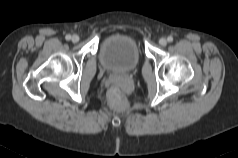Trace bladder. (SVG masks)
<instances>
[{"instance_id": "31cf9c89", "label": "bladder", "mask_w": 238, "mask_h": 158, "mask_svg": "<svg viewBox=\"0 0 238 158\" xmlns=\"http://www.w3.org/2000/svg\"><path fill=\"white\" fill-rule=\"evenodd\" d=\"M99 58L102 66L108 71L129 72L139 64L140 51L132 36L113 34L102 42Z\"/></svg>"}]
</instances>
